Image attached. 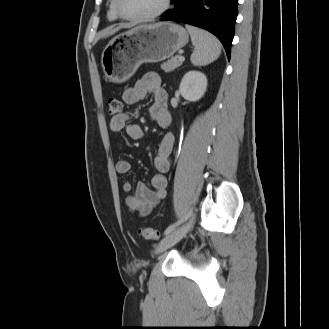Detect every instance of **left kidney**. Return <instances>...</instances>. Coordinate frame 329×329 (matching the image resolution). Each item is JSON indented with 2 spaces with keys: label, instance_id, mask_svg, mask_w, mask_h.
<instances>
[{
  "label": "left kidney",
  "instance_id": "1",
  "mask_svg": "<svg viewBox=\"0 0 329 329\" xmlns=\"http://www.w3.org/2000/svg\"><path fill=\"white\" fill-rule=\"evenodd\" d=\"M207 88V78L200 71L187 72L180 83L179 92L188 101H198L201 99Z\"/></svg>",
  "mask_w": 329,
  "mask_h": 329
}]
</instances>
